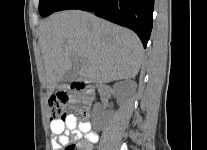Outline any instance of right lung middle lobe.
<instances>
[{
  "label": "right lung middle lobe",
  "instance_id": "dd1d6c3e",
  "mask_svg": "<svg viewBox=\"0 0 207 150\" xmlns=\"http://www.w3.org/2000/svg\"><path fill=\"white\" fill-rule=\"evenodd\" d=\"M66 0H39V12L42 17H46L57 11Z\"/></svg>",
  "mask_w": 207,
  "mask_h": 150
}]
</instances>
